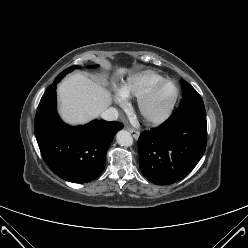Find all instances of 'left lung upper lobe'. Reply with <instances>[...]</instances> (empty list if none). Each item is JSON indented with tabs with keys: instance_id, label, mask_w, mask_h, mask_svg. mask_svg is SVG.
<instances>
[{
	"instance_id": "5c2ea615",
	"label": "left lung upper lobe",
	"mask_w": 248,
	"mask_h": 248,
	"mask_svg": "<svg viewBox=\"0 0 248 248\" xmlns=\"http://www.w3.org/2000/svg\"><path fill=\"white\" fill-rule=\"evenodd\" d=\"M183 90L182 102L177 112H186L193 107L204 105L201 96L198 92L186 81L180 80Z\"/></svg>"
}]
</instances>
